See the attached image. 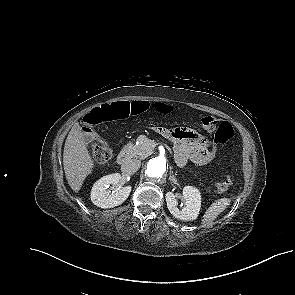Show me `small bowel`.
Listing matches in <instances>:
<instances>
[{"label":"small bowel","instance_id":"small-bowel-1","mask_svg":"<svg viewBox=\"0 0 295 295\" xmlns=\"http://www.w3.org/2000/svg\"><path fill=\"white\" fill-rule=\"evenodd\" d=\"M160 131L175 141L174 157L178 166L184 167L189 161L205 165L213 159L211 143L197 132L188 128Z\"/></svg>","mask_w":295,"mask_h":295}]
</instances>
